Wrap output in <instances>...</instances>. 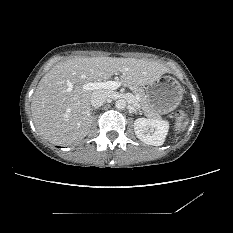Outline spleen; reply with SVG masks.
Here are the masks:
<instances>
[{
	"label": "spleen",
	"mask_w": 233,
	"mask_h": 233,
	"mask_svg": "<svg viewBox=\"0 0 233 233\" xmlns=\"http://www.w3.org/2000/svg\"><path fill=\"white\" fill-rule=\"evenodd\" d=\"M188 124V120H186L185 122H184V125H183V129L185 128V126Z\"/></svg>",
	"instance_id": "spleen-1"
}]
</instances>
